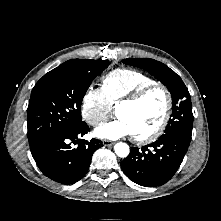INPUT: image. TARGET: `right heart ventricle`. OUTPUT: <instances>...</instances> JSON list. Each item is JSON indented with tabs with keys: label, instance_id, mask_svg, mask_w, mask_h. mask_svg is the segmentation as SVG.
Listing matches in <instances>:
<instances>
[{
	"label": "right heart ventricle",
	"instance_id": "right-heart-ventricle-1",
	"mask_svg": "<svg viewBox=\"0 0 221 221\" xmlns=\"http://www.w3.org/2000/svg\"><path fill=\"white\" fill-rule=\"evenodd\" d=\"M155 81L146 74L127 68L115 69L102 78L101 90L114 107L120 100Z\"/></svg>",
	"mask_w": 221,
	"mask_h": 221
}]
</instances>
